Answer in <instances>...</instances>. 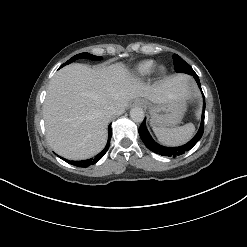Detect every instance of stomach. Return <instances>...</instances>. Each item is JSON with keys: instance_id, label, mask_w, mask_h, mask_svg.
<instances>
[{"instance_id": "0dacf381", "label": "stomach", "mask_w": 247, "mask_h": 247, "mask_svg": "<svg viewBox=\"0 0 247 247\" xmlns=\"http://www.w3.org/2000/svg\"><path fill=\"white\" fill-rule=\"evenodd\" d=\"M150 114V124L153 127H172L179 124L187 111L186 99L182 96L162 103H152L142 100Z\"/></svg>"}]
</instances>
